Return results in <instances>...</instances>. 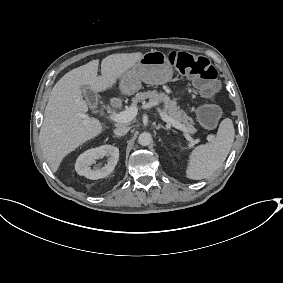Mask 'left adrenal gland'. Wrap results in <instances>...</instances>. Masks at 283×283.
Listing matches in <instances>:
<instances>
[{"mask_svg": "<svg viewBox=\"0 0 283 283\" xmlns=\"http://www.w3.org/2000/svg\"><path fill=\"white\" fill-rule=\"evenodd\" d=\"M155 128H156L157 130L160 129V128H163V129H165V130H168V129H169L168 127H165V126H163V125H161V124L155 125Z\"/></svg>", "mask_w": 283, "mask_h": 283, "instance_id": "a2214340", "label": "left adrenal gland"}]
</instances>
